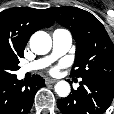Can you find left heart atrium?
I'll list each match as a JSON object with an SVG mask.
<instances>
[{
  "instance_id": "39dd6f15",
  "label": "left heart atrium",
  "mask_w": 114,
  "mask_h": 114,
  "mask_svg": "<svg viewBox=\"0 0 114 114\" xmlns=\"http://www.w3.org/2000/svg\"><path fill=\"white\" fill-rule=\"evenodd\" d=\"M58 69H59V67L53 68L52 73H57Z\"/></svg>"
}]
</instances>
